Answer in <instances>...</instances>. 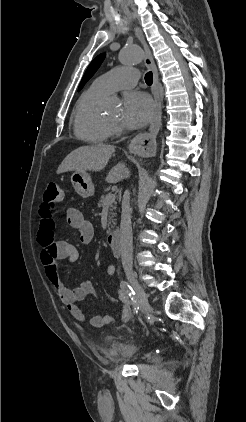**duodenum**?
<instances>
[{
  "instance_id": "1",
  "label": "duodenum",
  "mask_w": 246,
  "mask_h": 422,
  "mask_svg": "<svg viewBox=\"0 0 246 422\" xmlns=\"http://www.w3.org/2000/svg\"><path fill=\"white\" fill-rule=\"evenodd\" d=\"M107 242L114 256L120 257L121 256L120 233L118 231L111 232L107 237Z\"/></svg>"
}]
</instances>
